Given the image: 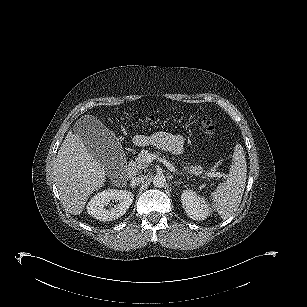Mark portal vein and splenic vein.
<instances>
[{
	"mask_svg": "<svg viewBox=\"0 0 307 307\" xmlns=\"http://www.w3.org/2000/svg\"><path fill=\"white\" fill-rule=\"evenodd\" d=\"M153 159H155V156L153 154H146L145 157H144V160L147 161V162H151ZM165 165L167 166V168L171 171H175V168L168 162L165 163ZM211 175H207V177H210ZM203 178H206V177H203Z\"/></svg>",
	"mask_w": 307,
	"mask_h": 307,
	"instance_id": "18ae733b",
	"label": "portal vein and splenic vein"
}]
</instances>
